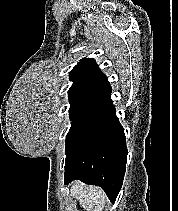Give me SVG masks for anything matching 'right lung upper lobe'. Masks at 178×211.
<instances>
[{"mask_svg": "<svg viewBox=\"0 0 178 211\" xmlns=\"http://www.w3.org/2000/svg\"><path fill=\"white\" fill-rule=\"evenodd\" d=\"M70 80L73 81L68 91L71 105L96 104L111 95L106 76L92 58L81 60L70 72Z\"/></svg>", "mask_w": 178, "mask_h": 211, "instance_id": "right-lung-upper-lobe-1", "label": "right lung upper lobe"}]
</instances>
